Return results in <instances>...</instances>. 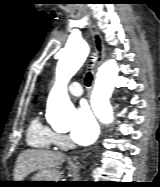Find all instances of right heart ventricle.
<instances>
[{
    "instance_id": "right-heart-ventricle-1",
    "label": "right heart ventricle",
    "mask_w": 160,
    "mask_h": 187,
    "mask_svg": "<svg viewBox=\"0 0 160 187\" xmlns=\"http://www.w3.org/2000/svg\"><path fill=\"white\" fill-rule=\"evenodd\" d=\"M27 143L37 149H54L57 146L56 133L50 127L44 125L38 117H35L27 130Z\"/></svg>"
}]
</instances>
